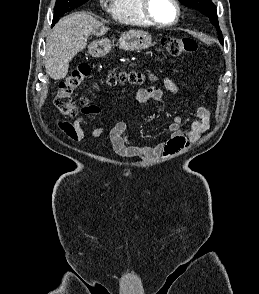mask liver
Instances as JSON below:
<instances>
[{"label":"liver","instance_id":"1","mask_svg":"<svg viewBox=\"0 0 259 294\" xmlns=\"http://www.w3.org/2000/svg\"><path fill=\"white\" fill-rule=\"evenodd\" d=\"M108 31L88 12H76L59 20L46 39L45 69L54 80L66 77L72 58L85 49L90 35Z\"/></svg>","mask_w":259,"mask_h":294}]
</instances>
